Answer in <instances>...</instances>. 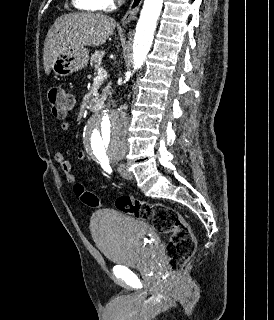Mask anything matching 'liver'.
Instances as JSON below:
<instances>
[{
  "instance_id": "obj_1",
  "label": "liver",
  "mask_w": 274,
  "mask_h": 320,
  "mask_svg": "<svg viewBox=\"0 0 274 320\" xmlns=\"http://www.w3.org/2000/svg\"><path fill=\"white\" fill-rule=\"evenodd\" d=\"M116 28V22L110 16L77 12L64 14L55 20L49 30L43 48V66L49 76L53 62L61 52L68 48H96L105 44Z\"/></svg>"
}]
</instances>
